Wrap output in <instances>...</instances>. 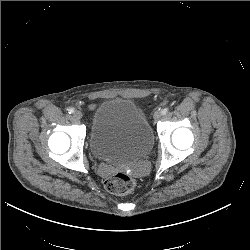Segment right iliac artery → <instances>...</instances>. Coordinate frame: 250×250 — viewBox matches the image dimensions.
<instances>
[{"label": "right iliac artery", "mask_w": 250, "mask_h": 250, "mask_svg": "<svg viewBox=\"0 0 250 250\" xmlns=\"http://www.w3.org/2000/svg\"><path fill=\"white\" fill-rule=\"evenodd\" d=\"M68 113H69V114H73V113H74V109H73V108H69V109H68Z\"/></svg>", "instance_id": "1"}]
</instances>
